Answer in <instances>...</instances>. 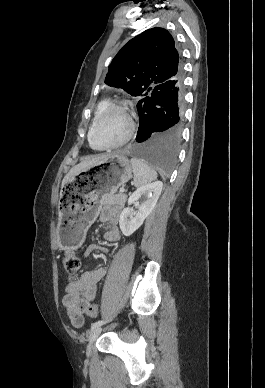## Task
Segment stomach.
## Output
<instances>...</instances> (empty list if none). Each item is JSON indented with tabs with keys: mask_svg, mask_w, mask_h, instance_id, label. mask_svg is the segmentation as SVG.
Here are the masks:
<instances>
[{
	"mask_svg": "<svg viewBox=\"0 0 265 388\" xmlns=\"http://www.w3.org/2000/svg\"><path fill=\"white\" fill-rule=\"evenodd\" d=\"M132 177V165L123 153H114L83 169L62 187L57 225L58 246L78 249L96 219L103 198L114 194Z\"/></svg>",
	"mask_w": 265,
	"mask_h": 388,
	"instance_id": "0dacf381",
	"label": "stomach"
}]
</instances>
